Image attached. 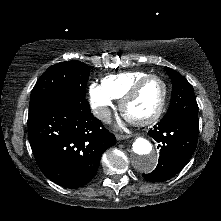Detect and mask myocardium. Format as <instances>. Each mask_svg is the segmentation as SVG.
Returning a JSON list of instances; mask_svg holds the SVG:
<instances>
[{
	"label": "myocardium",
	"mask_w": 221,
	"mask_h": 221,
	"mask_svg": "<svg viewBox=\"0 0 221 221\" xmlns=\"http://www.w3.org/2000/svg\"><path fill=\"white\" fill-rule=\"evenodd\" d=\"M152 79H156L158 80L161 85H162V98L160 101V104L158 106V108L156 109V111L151 114L148 117L145 118H133L130 117L127 114L126 108L128 103L134 99L136 97V95L139 93V91L141 90V88L150 80ZM167 96H168V87L167 84L165 82V80L155 74H149L147 76H144L143 78L139 79L126 93L125 95L121 98L120 100V111L123 115V117L128 120L129 122L135 124V125H139V126H144V125H148L151 124L153 122H155L156 120H158L160 118V116L162 115L165 106H166V102H167Z\"/></svg>",
	"instance_id": "obj_1"
}]
</instances>
